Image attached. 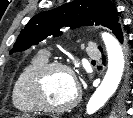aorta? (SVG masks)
Wrapping results in <instances>:
<instances>
[{
    "label": "aorta",
    "mask_w": 133,
    "mask_h": 118,
    "mask_svg": "<svg viewBox=\"0 0 133 118\" xmlns=\"http://www.w3.org/2000/svg\"><path fill=\"white\" fill-rule=\"evenodd\" d=\"M101 36L107 50L108 69L101 84L87 103L86 113L88 115L94 114L104 106L116 92L124 74L125 59L120 43L110 33L103 32Z\"/></svg>",
    "instance_id": "obj_1"
}]
</instances>
